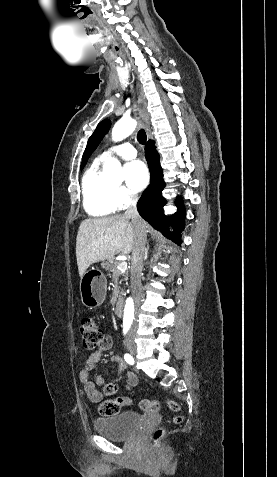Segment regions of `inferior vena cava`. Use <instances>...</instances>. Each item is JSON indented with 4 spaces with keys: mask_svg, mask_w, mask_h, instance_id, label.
<instances>
[{
    "mask_svg": "<svg viewBox=\"0 0 277 477\" xmlns=\"http://www.w3.org/2000/svg\"><path fill=\"white\" fill-rule=\"evenodd\" d=\"M138 196L131 195L130 206L125 211V216L131 218L136 233V242L132 252V266H131V293L134 299L135 307L137 308L142 297L141 272L143 268V259L145 258V240L146 233L143 228L142 220L137 211ZM137 329V324L134 321L129 332L128 337H132Z\"/></svg>",
    "mask_w": 277,
    "mask_h": 477,
    "instance_id": "obj_1",
    "label": "inferior vena cava"
}]
</instances>
